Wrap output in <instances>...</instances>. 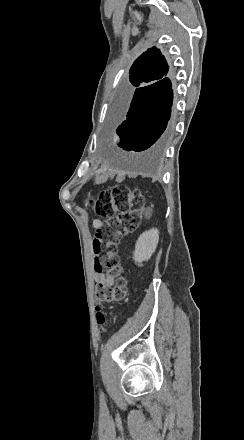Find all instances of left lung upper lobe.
<instances>
[{"label":"left lung upper lobe","instance_id":"obj_1","mask_svg":"<svg viewBox=\"0 0 244 440\" xmlns=\"http://www.w3.org/2000/svg\"><path fill=\"white\" fill-rule=\"evenodd\" d=\"M169 66L155 47L148 49L139 56L133 63L129 71V82L132 90L134 87L150 85L168 74Z\"/></svg>","mask_w":244,"mask_h":440}]
</instances>
